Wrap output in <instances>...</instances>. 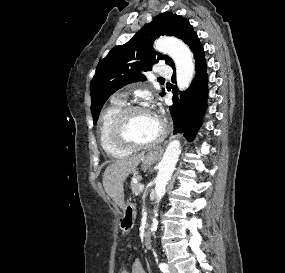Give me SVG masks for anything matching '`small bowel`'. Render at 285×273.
<instances>
[{
	"label": "small bowel",
	"mask_w": 285,
	"mask_h": 273,
	"mask_svg": "<svg viewBox=\"0 0 285 273\" xmlns=\"http://www.w3.org/2000/svg\"><path fill=\"white\" fill-rule=\"evenodd\" d=\"M123 273H145L142 263L140 260H134L132 262L131 268L126 269Z\"/></svg>",
	"instance_id": "c3829d8e"
}]
</instances>
